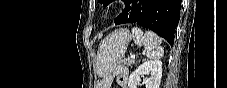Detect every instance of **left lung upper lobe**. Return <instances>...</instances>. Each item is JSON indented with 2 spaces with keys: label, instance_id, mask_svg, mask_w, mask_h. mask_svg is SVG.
<instances>
[{
  "label": "left lung upper lobe",
  "instance_id": "obj_1",
  "mask_svg": "<svg viewBox=\"0 0 227 88\" xmlns=\"http://www.w3.org/2000/svg\"><path fill=\"white\" fill-rule=\"evenodd\" d=\"M101 4H103V6H107L109 5L111 2H113L114 0H98ZM124 1V0H123Z\"/></svg>",
  "mask_w": 227,
  "mask_h": 88
}]
</instances>
